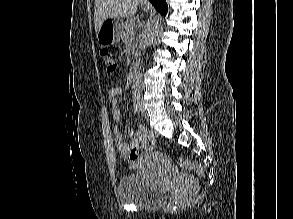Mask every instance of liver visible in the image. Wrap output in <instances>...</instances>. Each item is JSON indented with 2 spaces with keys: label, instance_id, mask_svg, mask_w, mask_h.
Segmentation results:
<instances>
[{
  "label": "liver",
  "instance_id": "1",
  "mask_svg": "<svg viewBox=\"0 0 293 219\" xmlns=\"http://www.w3.org/2000/svg\"><path fill=\"white\" fill-rule=\"evenodd\" d=\"M140 0H95L94 23L96 33L107 18H129L136 13Z\"/></svg>",
  "mask_w": 293,
  "mask_h": 219
}]
</instances>
